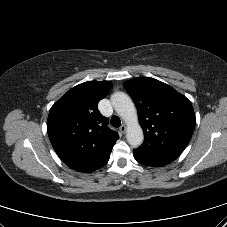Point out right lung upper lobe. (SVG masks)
<instances>
[{
	"mask_svg": "<svg viewBox=\"0 0 227 227\" xmlns=\"http://www.w3.org/2000/svg\"><path fill=\"white\" fill-rule=\"evenodd\" d=\"M109 81H88L70 89L50 109L47 132L60 159L69 167L94 161L119 136L97 109L110 91Z\"/></svg>",
	"mask_w": 227,
	"mask_h": 227,
	"instance_id": "cb5924a9",
	"label": "right lung upper lobe"
}]
</instances>
